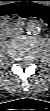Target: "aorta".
Returning a JSON list of instances; mask_svg holds the SVG:
<instances>
[{
  "mask_svg": "<svg viewBox=\"0 0 50 111\" xmlns=\"http://www.w3.org/2000/svg\"><path fill=\"white\" fill-rule=\"evenodd\" d=\"M26 31L28 34H38L40 32V27L38 24L30 22L26 26Z\"/></svg>",
  "mask_w": 50,
  "mask_h": 111,
  "instance_id": "762f6f07",
  "label": "aorta"
}]
</instances>
